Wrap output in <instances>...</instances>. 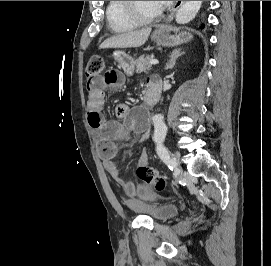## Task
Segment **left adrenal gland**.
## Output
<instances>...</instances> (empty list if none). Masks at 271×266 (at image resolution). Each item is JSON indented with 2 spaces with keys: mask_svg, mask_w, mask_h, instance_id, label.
Segmentation results:
<instances>
[{
  "mask_svg": "<svg viewBox=\"0 0 271 266\" xmlns=\"http://www.w3.org/2000/svg\"><path fill=\"white\" fill-rule=\"evenodd\" d=\"M185 54V52L181 51V49H175L172 51L170 55V59L168 60L165 70L172 69L175 66L176 60L178 57L182 56Z\"/></svg>",
  "mask_w": 271,
  "mask_h": 266,
  "instance_id": "obj_1",
  "label": "left adrenal gland"
}]
</instances>
